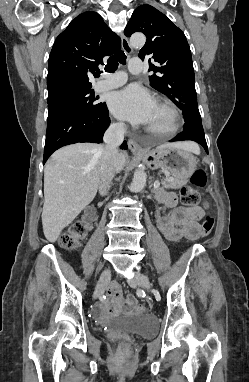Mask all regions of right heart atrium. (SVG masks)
<instances>
[{
  "label": "right heart atrium",
  "instance_id": "d8ad5b80",
  "mask_svg": "<svg viewBox=\"0 0 249 382\" xmlns=\"http://www.w3.org/2000/svg\"><path fill=\"white\" fill-rule=\"evenodd\" d=\"M114 128L117 130V131H123L124 130V125L120 122H117L114 124Z\"/></svg>",
  "mask_w": 249,
  "mask_h": 382
}]
</instances>
